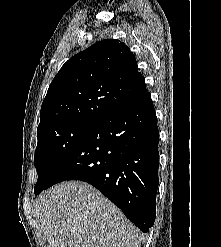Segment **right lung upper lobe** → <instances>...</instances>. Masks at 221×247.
Masks as SVG:
<instances>
[{
	"instance_id": "1",
	"label": "right lung upper lobe",
	"mask_w": 221,
	"mask_h": 247,
	"mask_svg": "<svg viewBox=\"0 0 221 247\" xmlns=\"http://www.w3.org/2000/svg\"><path fill=\"white\" fill-rule=\"evenodd\" d=\"M147 92L130 48L115 39L99 41L70 58L54 77L37 133L73 122L98 124Z\"/></svg>"
}]
</instances>
